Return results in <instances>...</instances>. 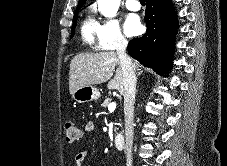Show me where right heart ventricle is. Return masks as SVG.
Segmentation results:
<instances>
[{"label":"right heart ventricle","instance_id":"e07e8e85","mask_svg":"<svg viewBox=\"0 0 227 166\" xmlns=\"http://www.w3.org/2000/svg\"><path fill=\"white\" fill-rule=\"evenodd\" d=\"M81 37L91 49L100 47L97 40V22L90 16H87L82 22Z\"/></svg>","mask_w":227,"mask_h":166}]
</instances>
